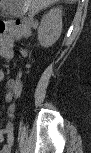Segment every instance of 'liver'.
<instances>
[{
    "label": "liver",
    "instance_id": "obj_1",
    "mask_svg": "<svg viewBox=\"0 0 91 153\" xmlns=\"http://www.w3.org/2000/svg\"><path fill=\"white\" fill-rule=\"evenodd\" d=\"M21 2L27 4L28 6L31 7L32 11L36 12L41 8H43L44 6H47L55 2V0H23Z\"/></svg>",
    "mask_w": 91,
    "mask_h": 153
}]
</instances>
